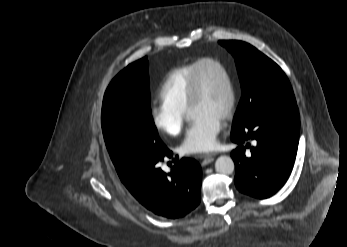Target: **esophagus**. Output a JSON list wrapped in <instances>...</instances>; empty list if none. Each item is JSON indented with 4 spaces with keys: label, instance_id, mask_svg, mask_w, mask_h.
Returning <instances> with one entry per match:
<instances>
[{
    "label": "esophagus",
    "instance_id": "34e87169",
    "mask_svg": "<svg viewBox=\"0 0 347 247\" xmlns=\"http://www.w3.org/2000/svg\"><path fill=\"white\" fill-rule=\"evenodd\" d=\"M214 153H208V154H203V155H200L199 157L203 160L202 161V165H207L211 162L214 161Z\"/></svg>",
    "mask_w": 347,
    "mask_h": 247
}]
</instances>
